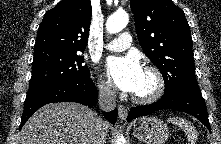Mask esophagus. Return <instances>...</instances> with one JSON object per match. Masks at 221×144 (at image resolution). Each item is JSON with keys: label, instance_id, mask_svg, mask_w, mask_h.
<instances>
[{"label": "esophagus", "instance_id": "1", "mask_svg": "<svg viewBox=\"0 0 221 144\" xmlns=\"http://www.w3.org/2000/svg\"><path fill=\"white\" fill-rule=\"evenodd\" d=\"M118 115H119V118H120L121 121L126 120L127 115H128V109H127V107L120 104V105L118 106Z\"/></svg>", "mask_w": 221, "mask_h": 144}]
</instances>
